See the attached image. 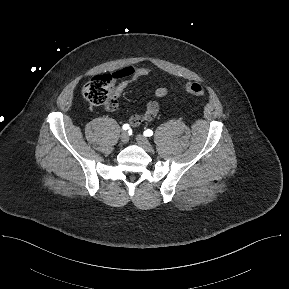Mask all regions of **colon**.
<instances>
[{
    "label": "colon",
    "mask_w": 289,
    "mask_h": 289,
    "mask_svg": "<svg viewBox=\"0 0 289 289\" xmlns=\"http://www.w3.org/2000/svg\"><path fill=\"white\" fill-rule=\"evenodd\" d=\"M112 81L113 77L108 74L93 77L83 87L85 99L92 105H104L109 111H114L118 104L110 94ZM183 88L185 92L197 97L205 95L204 87L198 82H188Z\"/></svg>",
    "instance_id": "1"
}]
</instances>
